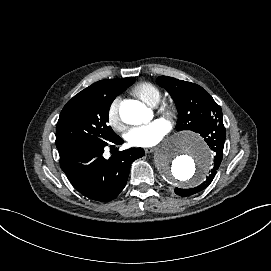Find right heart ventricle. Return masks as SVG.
I'll list each match as a JSON object with an SVG mask.
<instances>
[{
  "mask_svg": "<svg viewBox=\"0 0 271 271\" xmlns=\"http://www.w3.org/2000/svg\"><path fill=\"white\" fill-rule=\"evenodd\" d=\"M132 92L150 106H156L162 98L161 90L151 82H141L137 84Z\"/></svg>",
  "mask_w": 271,
  "mask_h": 271,
  "instance_id": "right-heart-ventricle-1",
  "label": "right heart ventricle"
}]
</instances>
